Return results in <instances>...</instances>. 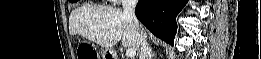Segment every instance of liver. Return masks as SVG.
Here are the masks:
<instances>
[{"label": "liver", "instance_id": "6515ba94", "mask_svg": "<svg viewBox=\"0 0 261 59\" xmlns=\"http://www.w3.org/2000/svg\"><path fill=\"white\" fill-rule=\"evenodd\" d=\"M144 32V31H143ZM69 33L81 35L104 48H112L120 40L124 47L139 49V31L122 10L113 7L86 6L73 10Z\"/></svg>", "mask_w": 261, "mask_h": 59}]
</instances>
